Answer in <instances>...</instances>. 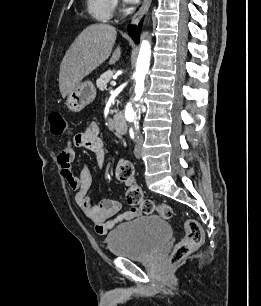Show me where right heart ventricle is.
<instances>
[{
    "mask_svg": "<svg viewBox=\"0 0 261 306\" xmlns=\"http://www.w3.org/2000/svg\"><path fill=\"white\" fill-rule=\"evenodd\" d=\"M89 13L99 21H107L112 16L111 0H87Z\"/></svg>",
    "mask_w": 261,
    "mask_h": 306,
    "instance_id": "1",
    "label": "right heart ventricle"
}]
</instances>
